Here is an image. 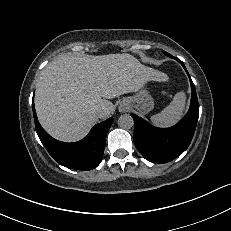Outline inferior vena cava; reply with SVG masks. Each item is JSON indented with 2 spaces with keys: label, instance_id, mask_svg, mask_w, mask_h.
<instances>
[{
  "label": "inferior vena cava",
  "instance_id": "inferior-vena-cava-1",
  "mask_svg": "<svg viewBox=\"0 0 231 231\" xmlns=\"http://www.w3.org/2000/svg\"><path fill=\"white\" fill-rule=\"evenodd\" d=\"M97 113H98L99 117H101V116L103 115L104 111H103L102 109H99V110L97 111Z\"/></svg>",
  "mask_w": 231,
  "mask_h": 231
}]
</instances>
